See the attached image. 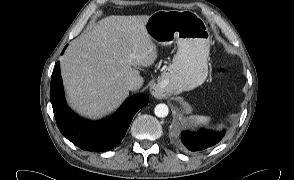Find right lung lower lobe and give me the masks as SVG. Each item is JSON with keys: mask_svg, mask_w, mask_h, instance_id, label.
<instances>
[{"mask_svg": "<svg viewBox=\"0 0 294 180\" xmlns=\"http://www.w3.org/2000/svg\"><path fill=\"white\" fill-rule=\"evenodd\" d=\"M50 98L61 133L79 148L96 152L110 150L119 144L124 138L134 114L149 102L146 95H135L122 106L115 116L108 120L91 122L81 119L66 105L59 62L55 64L53 69Z\"/></svg>", "mask_w": 294, "mask_h": 180, "instance_id": "right-lung-lower-lobe-1", "label": "right lung lower lobe"}]
</instances>
